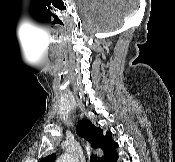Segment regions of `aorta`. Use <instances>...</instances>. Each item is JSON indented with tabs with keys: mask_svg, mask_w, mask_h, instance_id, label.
<instances>
[{
	"mask_svg": "<svg viewBox=\"0 0 175 162\" xmlns=\"http://www.w3.org/2000/svg\"><path fill=\"white\" fill-rule=\"evenodd\" d=\"M56 162H76L75 158L70 154H63Z\"/></svg>",
	"mask_w": 175,
	"mask_h": 162,
	"instance_id": "762f6f07",
	"label": "aorta"
}]
</instances>
